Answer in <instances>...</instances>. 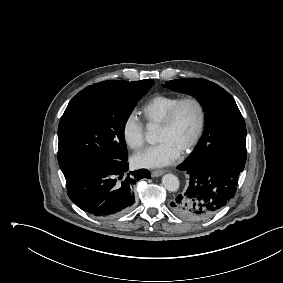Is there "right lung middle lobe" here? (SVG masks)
I'll use <instances>...</instances> for the list:
<instances>
[{
    "mask_svg": "<svg viewBox=\"0 0 283 283\" xmlns=\"http://www.w3.org/2000/svg\"><path fill=\"white\" fill-rule=\"evenodd\" d=\"M153 80L135 81L108 91H80L68 104L58 127L62 172L92 159H125V124Z\"/></svg>",
    "mask_w": 283,
    "mask_h": 283,
    "instance_id": "dd1d6c3e",
    "label": "right lung middle lobe"
}]
</instances>
